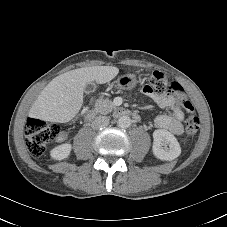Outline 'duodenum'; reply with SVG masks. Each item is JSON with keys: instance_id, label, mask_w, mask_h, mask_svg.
I'll use <instances>...</instances> for the list:
<instances>
[{"instance_id": "1", "label": "duodenum", "mask_w": 227, "mask_h": 227, "mask_svg": "<svg viewBox=\"0 0 227 227\" xmlns=\"http://www.w3.org/2000/svg\"><path fill=\"white\" fill-rule=\"evenodd\" d=\"M113 115L115 117L132 116L135 119H139V116L136 113H134V112H132L129 109L124 108V107H116L113 110ZM95 116H96L95 111L92 108H89V109L86 110L85 118L87 120H92V119L95 118Z\"/></svg>"}]
</instances>
